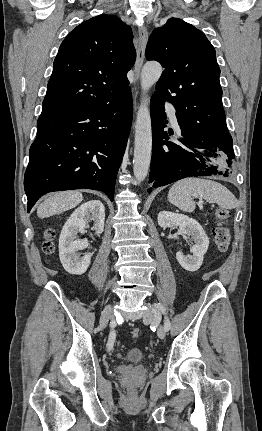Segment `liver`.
<instances>
[{
	"label": "liver",
	"instance_id": "obj_1",
	"mask_svg": "<svg viewBox=\"0 0 262 431\" xmlns=\"http://www.w3.org/2000/svg\"><path fill=\"white\" fill-rule=\"evenodd\" d=\"M83 200L79 191H63L50 195L37 208V216L40 219L60 214L76 207Z\"/></svg>",
	"mask_w": 262,
	"mask_h": 431
}]
</instances>
